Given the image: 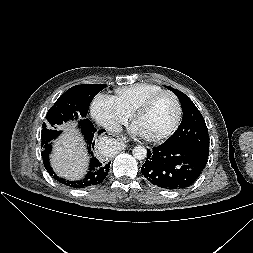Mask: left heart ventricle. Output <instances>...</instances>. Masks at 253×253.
Masks as SVG:
<instances>
[{"mask_svg": "<svg viewBox=\"0 0 253 253\" xmlns=\"http://www.w3.org/2000/svg\"><path fill=\"white\" fill-rule=\"evenodd\" d=\"M176 116V105L170 95L157 99L151 108L137 119L135 125L147 137H156L166 132Z\"/></svg>", "mask_w": 253, "mask_h": 253, "instance_id": "left-heart-ventricle-1", "label": "left heart ventricle"}]
</instances>
